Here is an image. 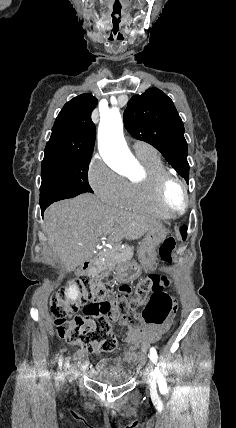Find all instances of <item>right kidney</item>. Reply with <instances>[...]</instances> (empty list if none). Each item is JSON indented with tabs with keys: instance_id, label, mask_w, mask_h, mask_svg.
Masks as SVG:
<instances>
[{
	"instance_id": "obj_1",
	"label": "right kidney",
	"mask_w": 236,
	"mask_h": 428,
	"mask_svg": "<svg viewBox=\"0 0 236 428\" xmlns=\"http://www.w3.org/2000/svg\"><path fill=\"white\" fill-rule=\"evenodd\" d=\"M79 294V288L76 286V284H71V286H69V288L66 290V296L68 300H77Z\"/></svg>"
}]
</instances>
